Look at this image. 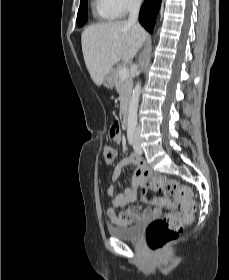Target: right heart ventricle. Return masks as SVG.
I'll return each mask as SVG.
<instances>
[{"label":"right heart ventricle","mask_w":229,"mask_h":280,"mask_svg":"<svg viewBox=\"0 0 229 280\" xmlns=\"http://www.w3.org/2000/svg\"><path fill=\"white\" fill-rule=\"evenodd\" d=\"M92 11L96 20L101 23H108L117 19V16L107 6L105 0H92Z\"/></svg>","instance_id":"obj_1"}]
</instances>
